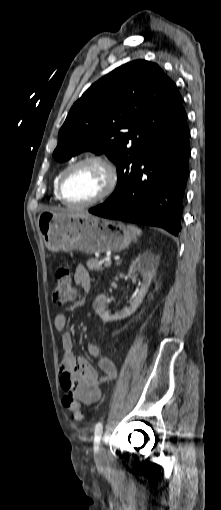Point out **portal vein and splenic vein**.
<instances>
[{
  "label": "portal vein and splenic vein",
  "instance_id": "18ae733b",
  "mask_svg": "<svg viewBox=\"0 0 221 510\" xmlns=\"http://www.w3.org/2000/svg\"><path fill=\"white\" fill-rule=\"evenodd\" d=\"M102 263H103L102 261H100V262H99V264H102ZM111 263H112V262H111V259H110V258H108V259H106V260H105V266H110V265H111Z\"/></svg>",
  "mask_w": 221,
  "mask_h": 510
}]
</instances>
